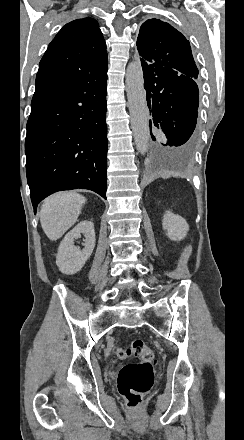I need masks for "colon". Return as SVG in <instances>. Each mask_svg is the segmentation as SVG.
<instances>
[{"instance_id": "colon-1", "label": "colon", "mask_w": 244, "mask_h": 440, "mask_svg": "<svg viewBox=\"0 0 244 440\" xmlns=\"http://www.w3.org/2000/svg\"><path fill=\"white\" fill-rule=\"evenodd\" d=\"M111 352L120 359L134 357L138 361L123 366L118 379L119 393L128 403V409L138 410L142 396L154 384L153 363L155 355L143 340L131 341L125 350L113 344Z\"/></svg>"}]
</instances>
